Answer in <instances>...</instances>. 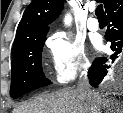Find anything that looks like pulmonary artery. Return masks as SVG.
Instances as JSON below:
<instances>
[{
	"mask_svg": "<svg viewBox=\"0 0 123 113\" xmlns=\"http://www.w3.org/2000/svg\"><path fill=\"white\" fill-rule=\"evenodd\" d=\"M91 12L92 13L94 12V8H91ZM87 26H88L89 30H91V31H98L100 29L99 21L95 17H91L88 20Z\"/></svg>",
	"mask_w": 123,
	"mask_h": 113,
	"instance_id": "pulmonary-artery-1",
	"label": "pulmonary artery"
}]
</instances>
